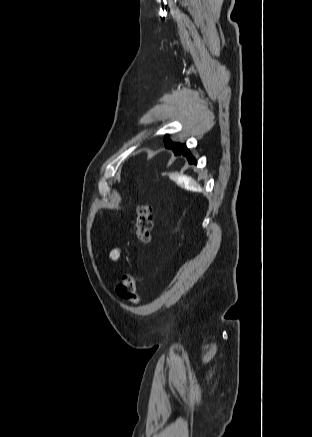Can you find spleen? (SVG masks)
<instances>
[{"label": "spleen", "instance_id": "obj_1", "mask_svg": "<svg viewBox=\"0 0 312 437\" xmlns=\"http://www.w3.org/2000/svg\"><path fill=\"white\" fill-rule=\"evenodd\" d=\"M173 180L179 184L180 186H183L187 190L197 191L200 192L201 186L197 184L192 178L185 177V176H173Z\"/></svg>", "mask_w": 312, "mask_h": 437}]
</instances>
